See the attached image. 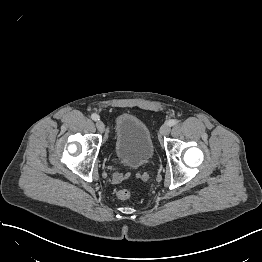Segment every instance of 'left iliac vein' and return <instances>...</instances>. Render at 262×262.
Returning a JSON list of instances; mask_svg holds the SVG:
<instances>
[{
	"label": "left iliac vein",
	"mask_w": 262,
	"mask_h": 262,
	"mask_svg": "<svg viewBox=\"0 0 262 262\" xmlns=\"http://www.w3.org/2000/svg\"><path fill=\"white\" fill-rule=\"evenodd\" d=\"M170 126L168 124H164L160 129V136H167L170 132Z\"/></svg>",
	"instance_id": "obj_1"
}]
</instances>
